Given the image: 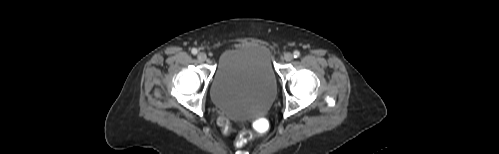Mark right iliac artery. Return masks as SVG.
<instances>
[{"mask_svg": "<svg viewBox=\"0 0 499 154\" xmlns=\"http://www.w3.org/2000/svg\"><path fill=\"white\" fill-rule=\"evenodd\" d=\"M191 52H192V54H193V55H196V54L198 53V50H197L196 48H193V49L191 50Z\"/></svg>", "mask_w": 499, "mask_h": 154, "instance_id": "right-iliac-artery-1", "label": "right iliac artery"}]
</instances>
